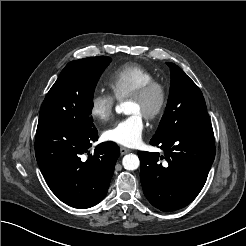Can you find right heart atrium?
I'll use <instances>...</instances> for the list:
<instances>
[{
  "instance_id": "obj_1",
  "label": "right heart atrium",
  "mask_w": 246,
  "mask_h": 246,
  "mask_svg": "<svg viewBox=\"0 0 246 246\" xmlns=\"http://www.w3.org/2000/svg\"><path fill=\"white\" fill-rule=\"evenodd\" d=\"M115 97L106 92L95 93L90 100V115L99 122H107L113 116Z\"/></svg>"
}]
</instances>
